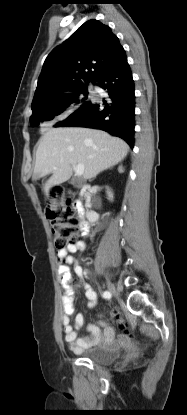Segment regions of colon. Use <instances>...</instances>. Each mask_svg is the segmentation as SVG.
I'll return each instance as SVG.
<instances>
[{"label":"colon","instance_id":"colon-1","mask_svg":"<svg viewBox=\"0 0 187 415\" xmlns=\"http://www.w3.org/2000/svg\"><path fill=\"white\" fill-rule=\"evenodd\" d=\"M51 198L52 202L48 207L47 215L55 235V246L58 250H62L77 240L81 224L61 186L52 188ZM113 317L119 329L128 333V326L122 316L114 313Z\"/></svg>","mask_w":187,"mask_h":415}]
</instances>
